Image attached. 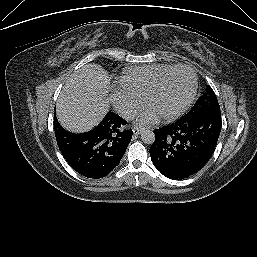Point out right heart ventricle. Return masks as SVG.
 I'll list each match as a JSON object with an SVG mask.
<instances>
[{
    "label": "right heart ventricle",
    "instance_id": "1",
    "mask_svg": "<svg viewBox=\"0 0 257 257\" xmlns=\"http://www.w3.org/2000/svg\"><path fill=\"white\" fill-rule=\"evenodd\" d=\"M172 66L152 64L127 68L119 80L120 87L131 94L145 98L155 80Z\"/></svg>",
    "mask_w": 257,
    "mask_h": 257
}]
</instances>
